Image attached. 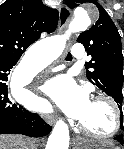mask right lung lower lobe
Returning a JSON list of instances; mask_svg holds the SVG:
<instances>
[{
  "mask_svg": "<svg viewBox=\"0 0 124 149\" xmlns=\"http://www.w3.org/2000/svg\"><path fill=\"white\" fill-rule=\"evenodd\" d=\"M17 61L0 62V134H23L31 137L46 136L51 131L39 115L14 103L8 95L7 81Z\"/></svg>",
  "mask_w": 124,
  "mask_h": 149,
  "instance_id": "98d812e1",
  "label": "right lung lower lobe"
}]
</instances>
